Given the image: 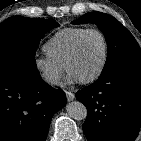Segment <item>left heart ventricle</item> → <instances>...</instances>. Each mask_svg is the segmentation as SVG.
I'll use <instances>...</instances> for the list:
<instances>
[{"mask_svg": "<svg viewBox=\"0 0 141 141\" xmlns=\"http://www.w3.org/2000/svg\"><path fill=\"white\" fill-rule=\"evenodd\" d=\"M104 55V44L96 33L88 34L81 45L77 57L71 62L69 72L80 80L92 76L100 67Z\"/></svg>", "mask_w": 141, "mask_h": 141, "instance_id": "left-heart-ventricle-1", "label": "left heart ventricle"}]
</instances>
